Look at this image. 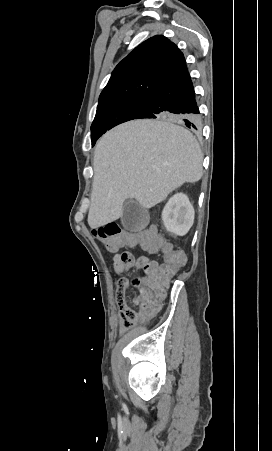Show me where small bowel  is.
Listing matches in <instances>:
<instances>
[{"label": "small bowel", "instance_id": "1", "mask_svg": "<svg viewBox=\"0 0 272 451\" xmlns=\"http://www.w3.org/2000/svg\"><path fill=\"white\" fill-rule=\"evenodd\" d=\"M147 251L148 249H144ZM143 256V255H141ZM129 270H127L128 272ZM118 276L117 285H116V293H117V305L119 308L118 319H119V329L121 331L122 323H121V311H134L131 309L127 302V294L129 289V280L124 276V274H116ZM134 304H137L138 299L134 298L132 300ZM147 311L144 310L142 313L138 312V320H142L146 317Z\"/></svg>", "mask_w": 272, "mask_h": 451}]
</instances>
